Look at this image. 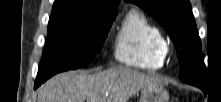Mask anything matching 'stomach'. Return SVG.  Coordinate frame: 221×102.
Wrapping results in <instances>:
<instances>
[{
	"mask_svg": "<svg viewBox=\"0 0 221 102\" xmlns=\"http://www.w3.org/2000/svg\"><path fill=\"white\" fill-rule=\"evenodd\" d=\"M140 102H169V93L161 85L145 87L141 90Z\"/></svg>",
	"mask_w": 221,
	"mask_h": 102,
	"instance_id": "stomach-1",
	"label": "stomach"
}]
</instances>
